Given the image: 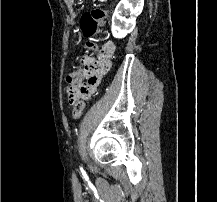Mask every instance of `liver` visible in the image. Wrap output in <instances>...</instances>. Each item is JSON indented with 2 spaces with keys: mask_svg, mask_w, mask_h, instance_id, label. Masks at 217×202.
Wrapping results in <instances>:
<instances>
[{
  "mask_svg": "<svg viewBox=\"0 0 217 202\" xmlns=\"http://www.w3.org/2000/svg\"><path fill=\"white\" fill-rule=\"evenodd\" d=\"M65 4H67L68 8H70L71 4H73L74 0H64Z\"/></svg>",
  "mask_w": 217,
  "mask_h": 202,
  "instance_id": "1",
  "label": "liver"
}]
</instances>
